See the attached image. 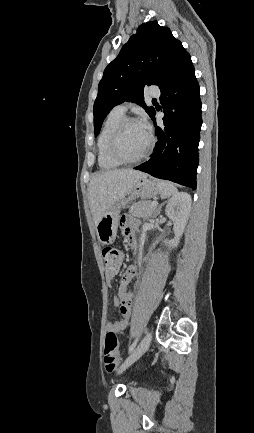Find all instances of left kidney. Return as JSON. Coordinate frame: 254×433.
I'll list each match as a JSON object with an SVG mask.
<instances>
[{
  "label": "left kidney",
  "instance_id": "5707ae66",
  "mask_svg": "<svg viewBox=\"0 0 254 433\" xmlns=\"http://www.w3.org/2000/svg\"><path fill=\"white\" fill-rule=\"evenodd\" d=\"M191 203V196L186 192H179L169 199L165 213L174 223L175 237L172 240L165 239L163 241L165 245L172 248L178 246L180 237L185 230L189 218Z\"/></svg>",
  "mask_w": 254,
  "mask_h": 433
}]
</instances>
